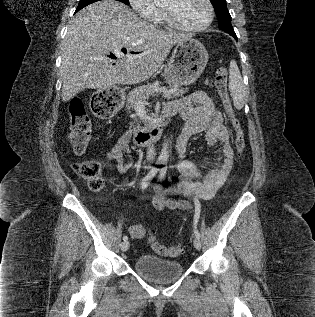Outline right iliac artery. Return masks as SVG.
I'll list each match as a JSON object with an SVG mask.
<instances>
[{
	"label": "right iliac artery",
	"instance_id": "82829eb1",
	"mask_svg": "<svg viewBox=\"0 0 315 317\" xmlns=\"http://www.w3.org/2000/svg\"><path fill=\"white\" fill-rule=\"evenodd\" d=\"M157 166L152 167V169L150 170V172L143 178L142 183H141V188L145 189L147 188V186L149 185L150 181L152 180V178L156 175V173L159 170V167L162 163L160 161H157ZM123 240L127 241L128 237L125 235L123 236Z\"/></svg>",
	"mask_w": 315,
	"mask_h": 317
}]
</instances>
